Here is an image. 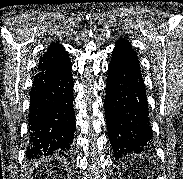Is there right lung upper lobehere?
I'll use <instances>...</instances> for the list:
<instances>
[{
  "label": "right lung upper lobe",
  "mask_w": 183,
  "mask_h": 179,
  "mask_svg": "<svg viewBox=\"0 0 183 179\" xmlns=\"http://www.w3.org/2000/svg\"><path fill=\"white\" fill-rule=\"evenodd\" d=\"M72 65L67 51L59 43H52L40 57L37 71L59 70Z\"/></svg>",
  "instance_id": "1"
}]
</instances>
